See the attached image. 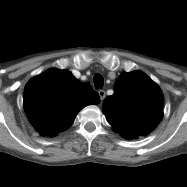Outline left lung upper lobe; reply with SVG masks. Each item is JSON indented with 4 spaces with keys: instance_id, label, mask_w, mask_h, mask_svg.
<instances>
[{
    "instance_id": "obj_1",
    "label": "left lung upper lobe",
    "mask_w": 187,
    "mask_h": 187,
    "mask_svg": "<svg viewBox=\"0 0 187 187\" xmlns=\"http://www.w3.org/2000/svg\"><path fill=\"white\" fill-rule=\"evenodd\" d=\"M164 97L159 86L140 71L122 73L114 94L102 104L112 129L126 139L150 133L163 117Z\"/></svg>"
}]
</instances>
